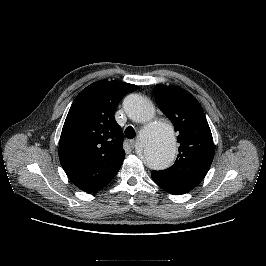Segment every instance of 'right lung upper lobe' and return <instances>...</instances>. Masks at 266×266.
<instances>
[{"label":"right lung upper lobe","mask_w":266,"mask_h":266,"mask_svg":"<svg viewBox=\"0 0 266 266\" xmlns=\"http://www.w3.org/2000/svg\"><path fill=\"white\" fill-rule=\"evenodd\" d=\"M136 89L120 81H97L73 101L59 141V159L81 190L97 192L118 173L125 151L114 113L123 96Z\"/></svg>","instance_id":"cb5924a9"}]
</instances>
